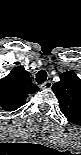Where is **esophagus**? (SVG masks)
I'll list each match as a JSON object with an SVG mask.
<instances>
[{
	"instance_id": "obj_1",
	"label": "esophagus",
	"mask_w": 81,
	"mask_h": 155,
	"mask_svg": "<svg viewBox=\"0 0 81 155\" xmlns=\"http://www.w3.org/2000/svg\"><path fill=\"white\" fill-rule=\"evenodd\" d=\"M52 87V82L50 80L44 82L42 85H41V88L42 89H50Z\"/></svg>"
}]
</instances>
